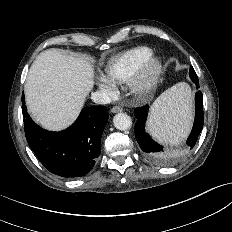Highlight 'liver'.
Masks as SVG:
<instances>
[{"label": "liver", "mask_w": 232, "mask_h": 232, "mask_svg": "<svg viewBox=\"0 0 232 232\" xmlns=\"http://www.w3.org/2000/svg\"><path fill=\"white\" fill-rule=\"evenodd\" d=\"M88 58L74 57L52 48L33 62L25 84L26 104L42 127L58 131L77 118L94 84Z\"/></svg>", "instance_id": "liver-1"}]
</instances>
